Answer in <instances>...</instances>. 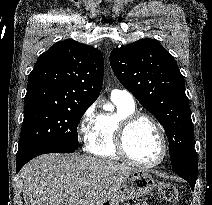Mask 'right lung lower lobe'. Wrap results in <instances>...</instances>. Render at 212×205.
Listing matches in <instances>:
<instances>
[{
  "label": "right lung lower lobe",
  "mask_w": 212,
  "mask_h": 205,
  "mask_svg": "<svg viewBox=\"0 0 212 205\" xmlns=\"http://www.w3.org/2000/svg\"><path fill=\"white\" fill-rule=\"evenodd\" d=\"M75 149H71L63 146H54V145H42L33 147L21 154H17L16 158V172H19L20 169L32 158L46 154V153H72L75 152Z\"/></svg>",
  "instance_id": "right-lung-lower-lobe-1"
}]
</instances>
